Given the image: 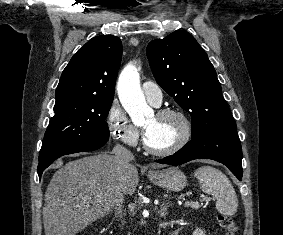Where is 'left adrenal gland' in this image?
Wrapping results in <instances>:
<instances>
[{
	"mask_svg": "<svg viewBox=\"0 0 283 235\" xmlns=\"http://www.w3.org/2000/svg\"><path fill=\"white\" fill-rule=\"evenodd\" d=\"M170 206H171L170 204H165L164 202L162 203L159 211L161 217H165L167 215V210Z\"/></svg>",
	"mask_w": 283,
	"mask_h": 235,
	"instance_id": "left-adrenal-gland-1",
	"label": "left adrenal gland"
}]
</instances>
